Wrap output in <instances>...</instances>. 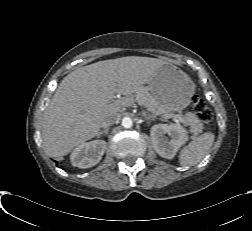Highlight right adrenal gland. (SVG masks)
I'll list each match as a JSON object with an SVG mask.
<instances>
[{"instance_id":"2a0ac1e0","label":"right adrenal gland","mask_w":252,"mask_h":231,"mask_svg":"<svg viewBox=\"0 0 252 231\" xmlns=\"http://www.w3.org/2000/svg\"><path fill=\"white\" fill-rule=\"evenodd\" d=\"M108 131H109V129L108 128H106L105 130H102V131H100L99 132V134H98V136L100 137L101 135H108Z\"/></svg>"}]
</instances>
